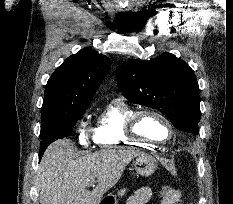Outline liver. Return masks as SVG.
Returning a JSON list of instances; mask_svg holds the SVG:
<instances>
[{
  "mask_svg": "<svg viewBox=\"0 0 233 204\" xmlns=\"http://www.w3.org/2000/svg\"><path fill=\"white\" fill-rule=\"evenodd\" d=\"M70 139L54 141L45 151L37 171L41 204H98L121 178L130 161L143 154L134 149H105L74 156ZM97 185L89 191V183Z\"/></svg>",
  "mask_w": 233,
  "mask_h": 204,
  "instance_id": "1",
  "label": "liver"
}]
</instances>
